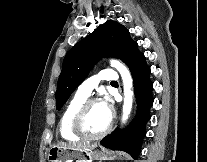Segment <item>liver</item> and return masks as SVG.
<instances>
[{
    "label": "liver",
    "instance_id": "6515ba94",
    "mask_svg": "<svg viewBox=\"0 0 207 162\" xmlns=\"http://www.w3.org/2000/svg\"><path fill=\"white\" fill-rule=\"evenodd\" d=\"M63 148H68L72 150H78V151H83V150H93L97 147V144H90V143H62L58 145Z\"/></svg>",
    "mask_w": 207,
    "mask_h": 162
}]
</instances>
